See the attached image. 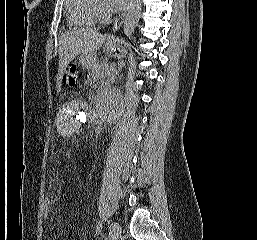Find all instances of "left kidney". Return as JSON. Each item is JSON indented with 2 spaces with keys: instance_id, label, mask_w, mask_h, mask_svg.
I'll list each match as a JSON object with an SVG mask.
<instances>
[{
  "instance_id": "obj_1",
  "label": "left kidney",
  "mask_w": 257,
  "mask_h": 240,
  "mask_svg": "<svg viewBox=\"0 0 257 240\" xmlns=\"http://www.w3.org/2000/svg\"><path fill=\"white\" fill-rule=\"evenodd\" d=\"M107 98L109 99V105L112 107H115L118 103V94L116 93L115 89H113L109 95L107 96Z\"/></svg>"
}]
</instances>
